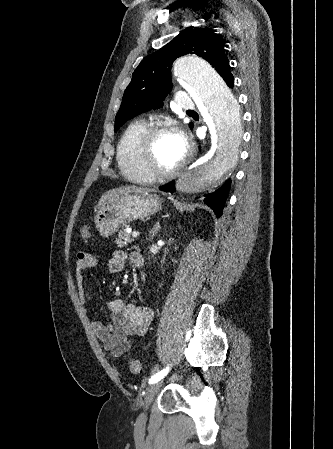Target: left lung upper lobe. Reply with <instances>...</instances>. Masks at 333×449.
<instances>
[{
    "label": "left lung upper lobe",
    "mask_w": 333,
    "mask_h": 449,
    "mask_svg": "<svg viewBox=\"0 0 333 449\" xmlns=\"http://www.w3.org/2000/svg\"><path fill=\"white\" fill-rule=\"evenodd\" d=\"M224 46L214 30L190 27L164 47L145 57L134 71L124 92L115 118V131L138 114L162 107V101L172 89L171 64L177 57L196 54L207 60L222 77L230 72ZM190 127H193L192 123Z\"/></svg>",
    "instance_id": "left-lung-upper-lobe-1"
}]
</instances>
